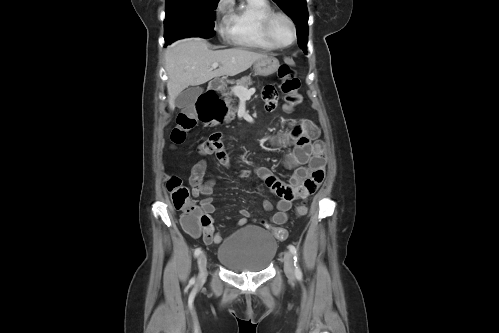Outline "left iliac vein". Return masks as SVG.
Here are the masks:
<instances>
[{
    "mask_svg": "<svg viewBox=\"0 0 499 333\" xmlns=\"http://www.w3.org/2000/svg\"><path fill=\"white\" fill-rule=\"evenodd\" d=\"M283 261H284V270H285L287 277L290 280H294L295 279V272H294L292 253L289 251H286L284 254Z\"/></svg>",
    "mask_w": 499,
    "mask_h": 333,
    "instance_id": "4c4485c4",
    "label": "left iliac vein"
}]
</instances>
